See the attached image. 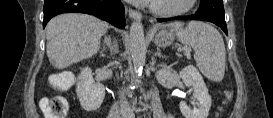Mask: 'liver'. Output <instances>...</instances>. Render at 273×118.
<instances>
[{"label": "liver", "instance_id": "1", "mask_svg": "<svg viewBox=\"0 0 273 118\" xmlns=\"http://www.w3.org/2000/svg\"><path fill=\"white\" fill-rule=\"evenodd\" d=\"M106 22L87 14H61L46 26V52L51 64L64 69L95 55L101 37L107 32Z\"/></svg>", "mask_w": 273, "mask_h": 118}]
</instances>
